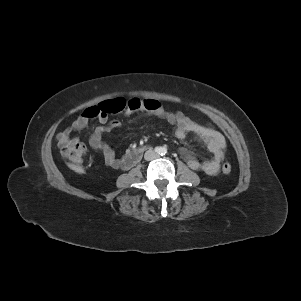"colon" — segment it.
<instances>
[{
	"instance_id": "1",
	"label": "colon",
	"mask_w": 301,
	"mask_h": 301,
	"mask_svg": "<svg viewBox=\"0 0 301 301\" xmlns=\"http://www.w3.org/2000/svg\"><path fill=\"white\" fill-rule=\"evenodd\" d=\"M162 105L159 101L153 99H139V98H114L104 101L97 106L87 108L83 113L89 118H97L101 115L109 113H119L122 111H137L146 110L149 112H156L161 109ZM188 116V115H187ZM184 117V116H183ZM193 118L191 116H188ZM195 119V118H193ZM196 120V119H195ZM86 146L80 141L64 145L62 147V156L73 165H81L86 155ZM232 168L229 163H224L222 166V172L229 174Z\"/></svg>"
}]
</instances>
